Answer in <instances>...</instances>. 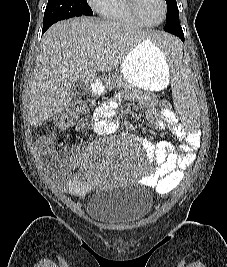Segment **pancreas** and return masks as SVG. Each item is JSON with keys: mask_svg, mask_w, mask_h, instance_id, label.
<instances>
[{"mask_svg": "<svg viewBox=\"0 0 227 267\" xmlns=\"http://www.w3.org/2000/svg\"><path fill=\"white\" fill-rule=\"evenodd\" d=\"M114 84L125 85V81L121 76L114 75L107 80V86L111 87Z\"/></svg>", "mask_w": 227, "mask_h": 267, "instance_id": "cf45deb5", "label": "pancreas"}]
</instances>
